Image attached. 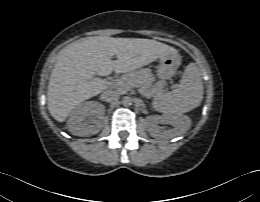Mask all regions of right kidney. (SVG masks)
I'll return each mask as SVG.
<instances>
[{"mask_svg":"<svg viewBox=\"0 0 260 202\" xmlns=\"http://www.w3.org/2000/svg\"><path fill=\"white\" fill-rule=\"evenodd\" d=\"M105 107L99 102L88 101L71 112L67 121L68 130L76 136L94 135L102 128Z\"/></svg>","mask_w":260,"mask_h":202,"instance_id":"1","label":"right kidney"}]
</instances>
